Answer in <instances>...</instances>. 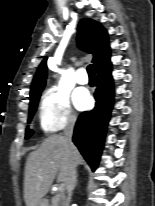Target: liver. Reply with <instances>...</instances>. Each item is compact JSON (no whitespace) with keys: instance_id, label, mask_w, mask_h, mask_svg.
I'll return each mask as SVG.
<instances>
[{"instance_id":"obj_1","label":"liver","mask_w":155,"mask_h":206,"mask_svg":"<svg viewBox=\"0 0 155 206\" xmlns=\"http://www.w3.org/2000/svg\"><path fill=\"white\" fill-rule=\"evenodd\" d=\"M71 156L76 165L82 157L73 145L71 154L65 139L61 135H52L45 139L41 146L28 156L25 166L24 199L26 206H37L48 193L57 176V181L66 187Z\"/></svg>"}]
</instances>
